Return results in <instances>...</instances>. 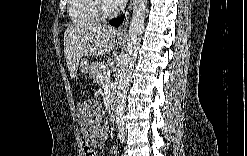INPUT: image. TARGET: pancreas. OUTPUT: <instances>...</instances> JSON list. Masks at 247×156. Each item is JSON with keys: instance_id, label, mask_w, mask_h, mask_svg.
I'll return each mask as SVG.
<instances>
[{"instance_id": "obj_1", "label": "pancreas", "mask_w": 247, "mask_h": 156, "mask_svg": "<svg viewBox=\"0 0 247 156\" xmlns=\"http://www.w3.org/2000/svg\"><path fill=\"white\" fill-rule=\"evenodd\" d=\"M96 69L91 74L94 78V81L99 84L103 85L105 83V74L110 71L111 65L110 63H96ZM115 84L111 83V89H114Z\"/></svg>"}]
</instances>
